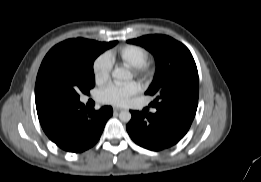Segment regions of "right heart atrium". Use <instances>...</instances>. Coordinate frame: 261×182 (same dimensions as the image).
I'll list each match as a JSON object with an SVG mask.
<instances>
[{
    "mask_svg": "<svg viewBox=\"0 0 261 182\" xmlns=\"http://www.w3.org/2000/svg\"><path fill=\"white\" fill-rule=\"evenodd\" d=\"M112 70V62L107 54H101L93 63V75L97 84L105 83Z\"/></svg>",
    "mask_w": 261,
    "mask_h": 182,
    "instance_id": "obj_1",
    "label": "right heart atrium"
}]
</instances>
